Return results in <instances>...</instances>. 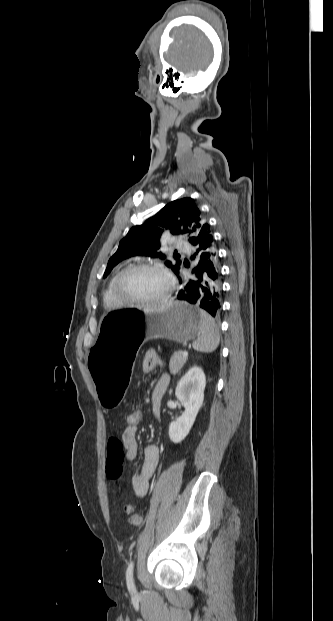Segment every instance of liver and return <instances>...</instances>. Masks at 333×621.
<instances>
[{
    "instance_id": "obj_1",
    "label": "liver",
    "mask_w": 333,
    "mask_h": 621,
    "mask_svg": "<svg viewBox=\"0 0 333 621\" xmlns=\"http://www.w3.org/2000/svg\"><path fill=\"white\" fill-rule=\"evenodd\" d=\"M171 304H172V301H164V302H161L159 304L149 306V307L145 308L144 310L146 312L149 311V310H163L166 307L170 306Z\"/></svg>"
}]
</instances>
